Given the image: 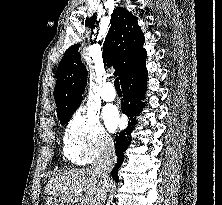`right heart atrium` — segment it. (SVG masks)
Wrapping results in <instances>:
<instances>
[{
	"mask_svg": "<svg viewBox=\"0 0 222 205\" xmlns=\"http://www.w3.org/2000/svg\"><path fill=\"white\" fill-rule=\"evenodd\" d=\"M63 141L66 157L80 165L89 164L113 146V139L99 118L84 110L78 111L69 121Z\"/></svg>",
	"mask_w": 222,
	"mask_h": 205,
	"instance_id": "1",
	"label": "right heart atrium"
}]
</instances>
